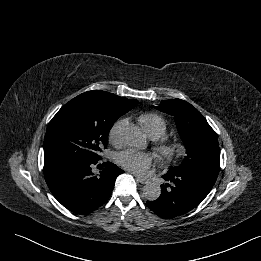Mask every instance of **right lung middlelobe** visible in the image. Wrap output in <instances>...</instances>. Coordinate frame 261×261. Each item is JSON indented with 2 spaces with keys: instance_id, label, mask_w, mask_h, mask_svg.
Wrapping results in <instances>:
<instances>
[{
  "instance_id": "obj_1",
  "label": "right lung middle lobe",
  "mask_w": 261,
  "mask_h": 261,
  "mask_svg": "<svg viewBox=\"0 0 261 261\" xmlns=\"http://www.w3.org/2000/svg\"><path fill=\"white\" fill-rule=\"evenodd\" d=\"M137 105H104L88 95L65 104L50 121L44 139V162L65 158H98L107 147L114 122Z\"/></svg>"
}]
</instances>
